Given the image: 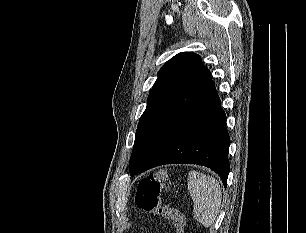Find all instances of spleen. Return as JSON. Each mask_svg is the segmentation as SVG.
<instances>
[{"label":"spleen","instance_id":"1","mask_svg":"<svg viewBox=\"0 0 306 233\" xmlns=\"http://www.w3.org/2000/svg\"><path fill=\"white\" fill-rule=\"evenodd\" d=\"M187 183L188 191L194 202L195 220L204 227L212 226L219 213L222 200L219 182L210 175L190 171Z\"/></svg>","mask_w":306,"mask_h":233}]
</instances>
